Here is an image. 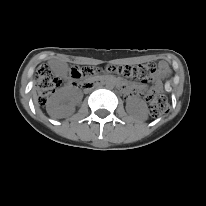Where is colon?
I'll return each instance as SVG.
<instances>
[{"label": "colon", "mask_w": 206, "mask_h": 206, "mask_svg": "<svg viewBox=\"0 0 206 206\" xmlns=\"http://www.w3.org/2000/svg\"><path fill=\"white\" fill-rule=\"evenodd\" d=\"M97 68L94 67H74L71 69V77L74 79L86 78L94 75ZM106 71L116 72L125 77L137 78L146 81L150 74L155 71L154 68L145 65L137 67L126 66H107ZM60 81L55 77L48 66L42 65L37 71V90L38 101L41 105L45 104L49 95L59 86ZM148 100L150 103V112L154 116L163 114L168 109V101L163 96L149 95Z\"/></svg>", "instance_id": "1"}]
</instances>
